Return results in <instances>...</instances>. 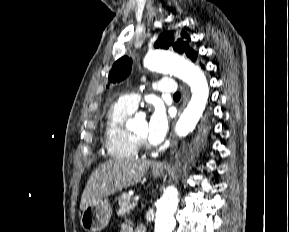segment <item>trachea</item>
Returning a JSON list of instances; mask_svg holds the SVG:
<instances>
[{
	"label": "trachea",
	"instance_id": "1",
	"mask_svg": "<svg viewBox=\"0 0 289 232\" xmlns=\"http://www.w3.org/2000/svg\"><path fill=\"white\" fill-rule=\"evenodd\" d=\"M173 97H174V98H180V93H179V92L175 93V94L173 95Z\"/></svg>",
	"mask_w": 289,
	"mask_h": 232
}]
</instances>
